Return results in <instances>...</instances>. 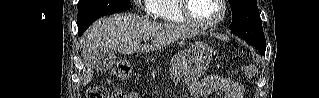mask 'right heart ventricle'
Returning a JSON list of instances; mask_svg holds the SVG:
<instances>
[{"label":"right heart ventricle","instance_id":"e07e8e85","mask_svg":"<svg viewBox=\"0 0 319 98\" xmlns=\"http://www.w3.org/2000/svg\"><path fill=\"white\" fill-rule=\"evenodd\" d=\"M179 0H146V10L156 19L165 22L187 24L180 13Z\"/></svg>","mask_w":319,"mask_h":98}]
</instances>
